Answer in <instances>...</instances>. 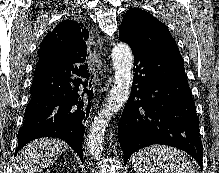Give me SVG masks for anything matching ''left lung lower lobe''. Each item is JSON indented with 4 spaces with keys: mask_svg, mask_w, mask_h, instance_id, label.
<instances>
[{
    "mask_svg": "<svg viewBox=\"0 0 219 173\" xmlns=\"http://www.w3.org/2000/svg\"><path fill=\"white\" fill-rule=\"evenodd\" d=\"M133 53L134 83L118 124L124 162L143 147L165 144L184 150L202 167L199 119L183 58Z\"/></svg>",
    "mask_w": 219,
    "mask_h": 173,
    "instance_id": "left-lung-lower-lobe-1",
    "label": "left lung lower lobe"
}]
</instances>
